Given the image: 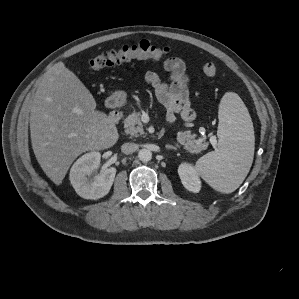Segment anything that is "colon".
Masks as SVG:
<instances>
[{
	"mask_svg": "<svg viewBox=\"0 0 299 299\" xmlns=\"http://www.w3.org/2000/svg\"><path fill=\"white\" fill-rule=\"evenodd\" d=\"M168 52L169 50L167 48L158 47L147 40H142L136 45L124 46L119 50L104 52L93 57L89 62V69L97 71L135 58L160 60L164 58ZM202 71L206 76L213 77L217 74L218 69L214 63L207 62L202 66Z\"/></svg>",
	"mask_w": 299,
	"mask_h": 299,
	"instance_id": "obj_1",
	"label": "colon"
}]
</instances>
